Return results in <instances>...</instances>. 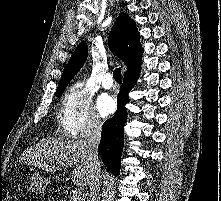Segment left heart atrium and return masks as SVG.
Returning a JSON list of instances; mask_svg holds the SVG:
<instances>
[{"mask_svg":"<svg viewBox=\"0 0 221 201\" xmlns=\"http://www.w3.org/2000/svg\"><path fill=\"white\" fill-rule=\"evenodd\" d=\"M97 109L104 117L112 114L116 109L115 99L108 94H101L97 99Z\"/></svg>","mask_w":221,"mask_h":201,"instance_id":"39dd6f15","label":"left heart atrium"}]
</instances>
